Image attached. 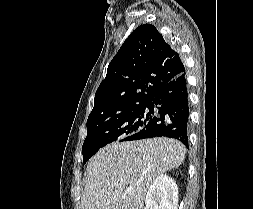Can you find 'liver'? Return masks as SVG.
Listing matches in <instances>:
<instances>
[{
  "label": "liver",
  "instance_id": "liver-1",
  "mask_svg": "<svg viewBox=\"0 0 253 209\" xmlns=\"http://www.w3.org/2000/svg\"><path fill=\"white\" fill-rule=\"evenodd\" d=\"M185 154V146L169 138L105 146L86 168L81 209H143L154 179L181 165ZM125 188L134 193L126 194Z\"/></svg>",
  "mask_w": 253,
  "mask_h": 209
}]
</instances>
